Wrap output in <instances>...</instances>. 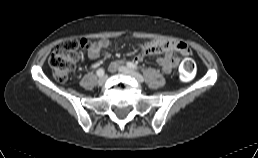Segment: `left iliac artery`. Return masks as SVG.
I'll use <instances>...</instances> for the list:
<instances>
[{
  "label": "left iliac artery",
  "instance_id": "obj_1",
  "mask_svg": "<svg viewBox=\"0 0 258 158\" xmlns=\"http://www.w3.org/2000/svg\"><path fill=\"white\" fill-rule=\"evenodd\" d=\"M127 66H128L129 68L133 69V70H137V69H138L137 65H135V64L132 63V62H128V63H127Z\"/></svg>",
  "mask_w": 258,
  "mask_h": 158
}]
</instances>
